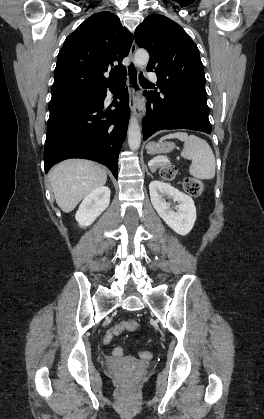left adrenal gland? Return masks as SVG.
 I'll list each match as a JSON object with an SVG mask.
<instances>
[{"mask_svg": "<svg viewBox=\"0 0 264 419\" xmlns=\"http://www.w3.org/2000/svg\"><path fill=\"white\" fill-rule=\"evenodd\" d=\"M147 175H150L152 177V174L146 169Z\"/></svg>", "mask_w": 264, "mask_h": 419, "instance_id": "a2214340", "label": "left adrenal gland"}]
</instances>
